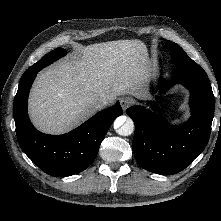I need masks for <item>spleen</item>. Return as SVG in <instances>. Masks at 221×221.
I'll return each mask as SVG.
<instances>
[{"label":"spleen","instance_id":"1","mask_svg":"<svg viewBox=\"0 0 221 221\" xmlns=\"http://www.w3.org/2000/svg\"><path fill=\"white\" fill-rule=\"evenodd\" d=\"M178 122H179V120H178V119L173 121V123H176V124H177Z\"/></svg>","mask_w":221,"mask_h":221}]
</instances>
